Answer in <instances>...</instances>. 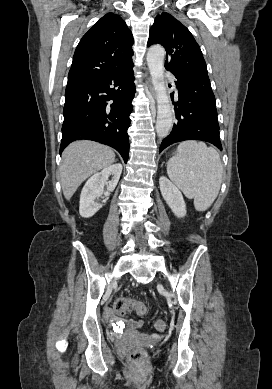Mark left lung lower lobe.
<instances>
[{
    "mask_svg": "<svg viewBox=\"0 0 272 389\" xmlns=\"http://www.w3.org/2000/svg\"><path fill=\"white\" fill-rule=\"evenodd\" d=\"M179 100L175 105L176 123L161 143L167 146L184 140H201L222 150L215 97L208 75L175 76ZM174 98V93L171 94Z\"/></svg>",
    "mask_w": 272,
    "mask_h": 389,
    "instance_id": "left-lung-lower-lobe-1",
    "label": "left lung lower lobe"
}]
</instances>
